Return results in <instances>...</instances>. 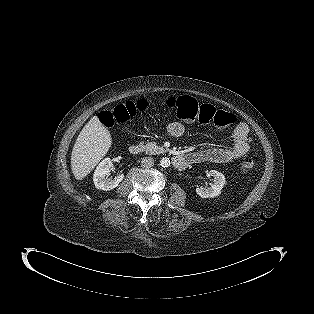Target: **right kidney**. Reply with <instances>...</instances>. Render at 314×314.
<instances>
[{
	"label": "right kidney",
	"mask_w": 314,
	"mask_h": 314,
	"mask_svg": "<svg viewBox=\"0 0 314 314\" xmlns=\"http://www.w3.org/2000/svg\"><path fill=\"white\" fill-rule=\"evenodd\" d=\"M112 166V161L110 158H105L97 166L94 175L93 181L97 189L104 191L112 190L119 185V183L124 179V174H119L114 179H108L110 175Z\"/></svg>",
	"instance_id": "right-kidney-1"
}]
</instances>
